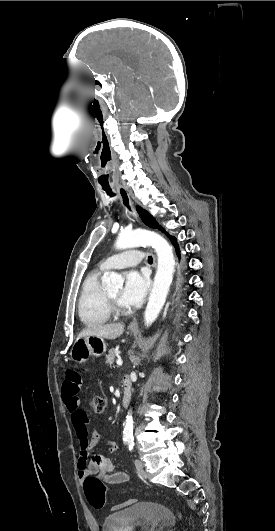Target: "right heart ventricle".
Segmentation results:
<instances>
[{
    "mask_svg": "<svg viewBox=\"0 0 275 531\" xmlns=\"http://www.w3.org/2000/svg\"><path fill=\"white\" fill-rule=\"evenodd\" d=\"M100 277V272L88 274L79 291V316L82 322L88 326L102 325L111 317V310Z\"/></svg>",
    "mask_w": 275,
    "mask_h": 531,
    "instance_id": "1",
    "label": "right heart ventricle"
}]
</instances>
